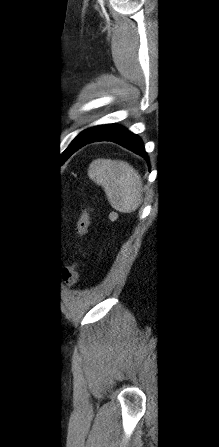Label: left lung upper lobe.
<instances>
[{"instance_id": "1", "label": "left lung upper lobe", "mask_w": 219, "mask_h": 447, "mask_svg": "<svg viewBox=\"0 0 219 447\" xmlns=\"http://www.w3.org/2000/svg\"><path fill=\"white\" fill-rule=\"evenodd\" d=\"M99 127L100 126H97V127H93V128H90V129H87V130H85V131H83L81 134H79L74 140H73V142L69 145L70 147H72L73 145H76V144H78V143H80L81 141H83V140H85V139H87L90 135H92L97 129H99ZM68 146V149L70 148ZM67 149V150H68ZM66 150V151H67ZM65 151V152H66Z\"/></svg>"}]
</instances>
